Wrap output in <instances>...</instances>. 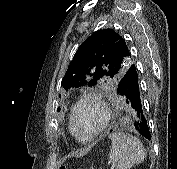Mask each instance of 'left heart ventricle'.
<instances>
[{"label": "left heart ventricle", "instance_id": "left-heart-ventricle-1", "mask_svg": "<svg viewBox=\"0 0 177 169\" xmlns=\"http://www.w3.org/2000/svg\"><path fill=\"white\" fill-rule=\"evenodd\" d=\"M101 111L93 102L80 106L76 114V127L81 135H90L101 123Z\"/></svg>", "mask_w": 177, "mask_h": 169}]
</instances>
